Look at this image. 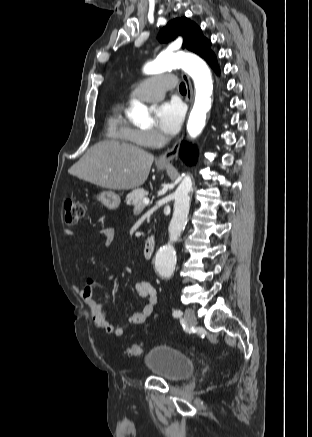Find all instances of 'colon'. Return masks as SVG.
Wrapping results in <instances>:
<instances>
[{"instance_id":"5ec220e1","label":"colon","mask_w":312,"mask_h":437,"mask_svg":"<svg viewBox=\"0 0 312 437\" xmlns=\"http://www.w3.org/2000/svg\"><path fill=\"white\" fill-rule=\"evenodd\" d=\"M64 219L67 224L73 225L79 222L84 215V206L81 202L71 198L63 201ZM142 352L139 344H132L127 347L126 354L129 356H138Z\"/></svg>"}]
</instances>
